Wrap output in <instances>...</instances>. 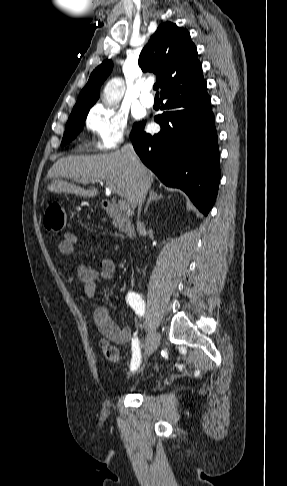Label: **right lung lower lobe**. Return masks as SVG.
<instances>
[{
  "label": "right lung lower lobe",
  "instance_id": "obj_1",
  "mask_svg": "<svg viewBox=\"0 0 287 486\" xmlns=\"http://www.w3.org/2000/svg\"><path fill=\"white\" fill-rule=\"evenodd\" d=\"M161 131L150 135L145 122L131 131L142 162L167 186L183 190L205 216L211 210L220 181L219 149L211 100L202 78L160 95Z\"/></svg>",
  "mask_w": 287,
  "mask_h": 486
}]
</instances>
